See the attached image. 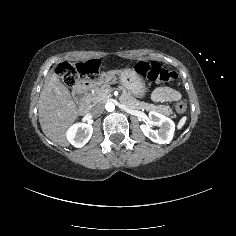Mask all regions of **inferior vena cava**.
<instances>
[{
	"label": "inferior vena cava",
	"mask_w": 236,
	"mask_h": 236,
	"mask_svg": "<svg viewBox=\"0 0 236 236\" xmlns=\"http://www.w3.org/2000/svg\"><path fill=\"white\" fill-rule=\"evenodd\" d=\"M103 109H104L103 104L98 103L94 104L90 111L92 115H98L103 111Z\"/></svg>",
	"instance_id": "obj_1"
}]
</instances>
